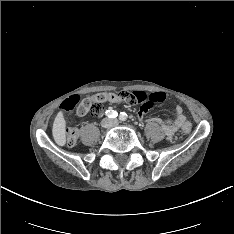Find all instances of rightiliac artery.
Masks as SVG:
<instances>
[{
  "label": "right iliac artery",
  "mask_w": 234,
  "mask_h": 234,
  "mask_svg": "<svg viewBox=\"0 0 234 234\" xmlns=\"http://www.w3.org/2000/svg\"><path fill=\"white\" fill-rule=\"evenodd\" d=\"M106 116L109 118H116L118 116V113L115 110H107Z\"/></svg>",
  "instance_id": "right-iliac-artery-1"
}]
</instances>
